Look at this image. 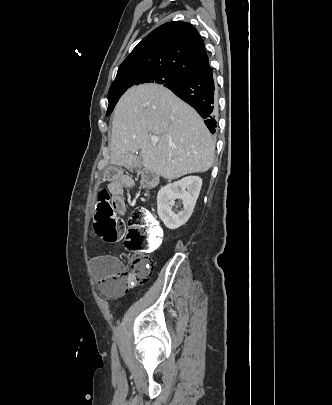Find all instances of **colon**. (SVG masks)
Listing matches in <instances>:
<instances>
[{
  "mask_svg": "<svg viewBox=\"0 0 332 405\" xmlns=\"http://www.w3.org/2000/svg\"><path fill=\"white\" fill-rule=\"evenodd\" d=\"M142 182L151 185L152 174L144 172ZM111 191L103 189L98 193L94 215V230L105 242H117L125 231L124 223L115 215L110 205ZM130 237L125 253L131 257L130 271H117L103 279L98 290L106 298L123 294L134 282H146L151 277L156 245L162 241V228L156 217L145 208H136L129 220ZM148 235V236H147Z\"/></svg>",
  "mask_w": 332,
  "mask_h": 405,
  "instance_id": "1",
  "label": "colon"
}]
</instances>
